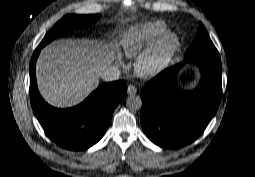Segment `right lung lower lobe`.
Masks as SVG:
<instances>
[{"label": "right lung lower lobe", "mask_w": 255, "mask_h": 177, "mask_svg": "<svg viewBox=\"0 0 255 177\" xmlns=\"http://www.w3.org/2000/svg\"><path fill=\"white\" fill-rule=\"evenodd\" d=\"M42 48L37 47L30 62V100L38 121L46 134L59 146L84 150L104 135L118 103L127 92L123 80L104 83L83 103L69 109H57L41 97L36 83L35 65Z\"/></svg>", "instance_id": "obj_1"}]
</instances>
